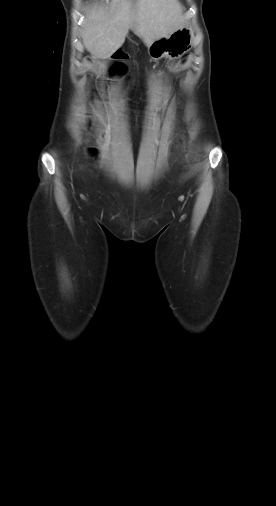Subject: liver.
Here are the masks:
<instances>
[{
  "label": "liver",
  "mask_w": 276,
  "mask_h": 506,
  "mask_svg": "<svg viewBox=\"0 0 276 506\" xmlns=\"http://www.w3.org/2000/svg\"><path fill=\"white\" fill-rule=\"evenodd\" d=\"M183 8L178 0H116L111 12L101 4L87 10L83 44L96 58L110 57L133 29L148 46L184 26Z\"/></svg>",
  "instance_id": "1"
}]
</instances>
